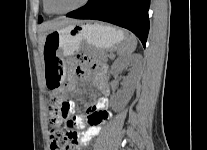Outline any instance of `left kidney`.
Wrapping results in <instances>:
<instances>
[{
  "label": "left kidney",
  "mask_w": 207,
  "mask_h": 150,
  "mask_svg": "<svg viewBox=\"0 0 207 150\" xmlns=\"http://www.w3.org/2000/svg\"><path fill=\"white\" fill-rule=\"evenodd\" d=\"M141 57L137 54L127 57L118 58L112 65L111 71L113 74H118L121 69L127 65L132 66L131 74L124 81V89L112 98L111 105L115 111H119L130 100L134 93L135 72L140 63Z\"/></svg>",
  "instance_id": "left-kidney-1"
}]
</instances>
